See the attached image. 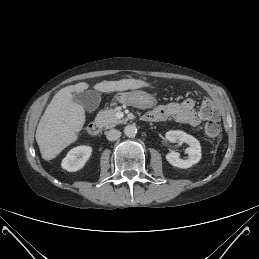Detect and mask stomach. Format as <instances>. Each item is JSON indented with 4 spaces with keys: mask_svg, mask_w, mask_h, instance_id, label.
Masks as SVG:
<instances>
[{
    "mask_svg": "<svg viewBox=\"0 0 259 259\" xmlns=\"http://www.w3.org/2000/svg\"><path fill=\"white\" fill-rule=\"evenodd\" d=\"M114 102L131 105L137 108H152L156 105V99L153 95L140 90L118 93L114 97Z\"/></svg>",
    "mask_w": 259,
    "mask_h": 259,
    "instance_id": "0dacf381",
    "label": "stomach"
}]
</instances>
